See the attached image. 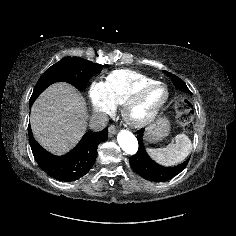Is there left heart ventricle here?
<instances>
[{"label": "left heart ventricle", "instance_id": "b2bd125f", "mask_svg": "<svg viewBox=\"0 0 236 236\" xmlns=\"http://www.w3.org/2000/svg\"><path fill=\"white\" fill-rule=\"evenodd\" d=\"M163 96V90L157 88L151 91L147 97L142 101V103L134 109L133 114L137 117L143 116L149 110V108L155 104Z\"/></svg>", "mask_w": 236, "mask_h": 236}]
</instances>
